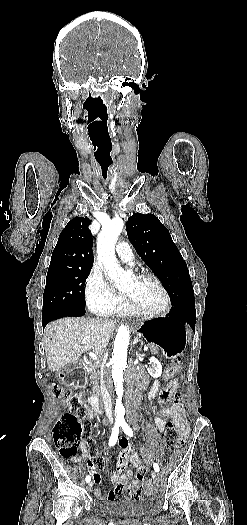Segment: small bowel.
I'll list each match as a JSON object with an SVG mask.
<instances>
[{"instance_id":"1","label":"small bowel","mask_w":247,"mask_h":525,"mask_svg":"<svg viewBox=\"0 0 247 525\" xmlns=\"http://www.w3.org/2000/svg\"><path fill=\"white\" fill-rule=\"evenodd\" d=\"M178 387L179 382L177 379H173L168 384V388L173 389L175 393ZM158 391L159 387L154 383L146 395L147 399H154L157 396ZM168 420L173 422L177 426L180 437L182 439L187 436L188 427L183 418V408L181 402L177 398L175 399L173 405L161 408L158 414L156 415L155 424L159 432H163L165 430ZM117 445L120 450L116 461L117 469L111 475V482L114 484V489L110 491L107 495H104L100 489L95 490V495L99 499H103L104 504L106 506H118L120 502L118 495H120L122 489L125 486H127V483L130 481L132 476L131 471L127 469L129 463L133 467L138 468L141 464V461L146 465H150L153 460H162V455L156 447L133 452L131 447L129 446L127 438L125 437H119ZM81 450L82 455L80 457H72L71 461L73 463H85L86 469L91 476V480H96L95 485L97 487H100L102 485L101 480L103 479V476L101 474L96 473L97 469L102 470L105 468L106 463L104 461V458L100 456L94 449L90 450L89 452V445L87 440L82 441ZM132 488L134 490H137L139 488V485L137 483H134L132 485ZM140 497L141 495L139 497L131 496L127 498L130 501H137L140 499Z\"/></svg>"}]
</instances>
